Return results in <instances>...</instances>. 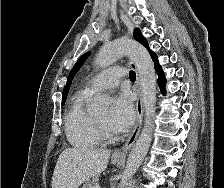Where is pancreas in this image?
<instances>
[{
	"label": "pancreas",
	"instance_id": "1",
	"mask_svg": "<svg viewBox=\"0 0 224 188\" xmlns=\"http://www.w3.org/2000/svg\"><path fill=\"white\" fill-rule=\"evenodd\" d=\"M97 185V179L93 178L92 180H88L83 184L82 188H94Z\"/></svg>",
	"mask_w": 224,
	"mask_h": 188
}]
</instances>
